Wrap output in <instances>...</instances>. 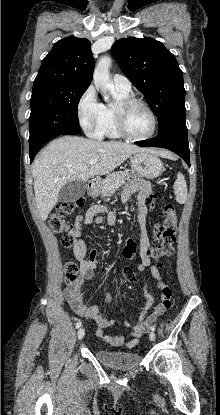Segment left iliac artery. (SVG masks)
<instances>
[{"label":"left iliac artery","instance_id":"left-iliac-artery-1","mask_svg":"<svg viewBox=\"0 0 220 415\" xmlns=\"http://www.w3.org/2000/svg\"><path fill=\"white\" fill-rule=\"evenodd\" d=\"M151 330H152V331H154V330H155V327H154L153 325L151 326Z\"/></svg>","mask_w":220,"mask_h":415}]
</instances>
